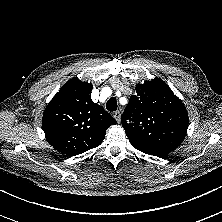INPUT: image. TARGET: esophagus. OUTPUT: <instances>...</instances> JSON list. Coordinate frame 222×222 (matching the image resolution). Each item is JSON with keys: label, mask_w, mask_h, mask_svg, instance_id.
<instances>
[{"label": "esophagus", "mask_w": 222, "mask_h": 222, "mask_svg": "<svg viewBox=\"0 0 222 222\" xmlns=\"http://www.w3.org/2000/svg\"><path fill=\"white\" fill-rule=\"evenodd\" d=\"M113 117L116 119V121L119 123L120 122V118H121V113L120 111H116L113 113Z\"/></svg>", "instance_id": "1"}]
</instances>
